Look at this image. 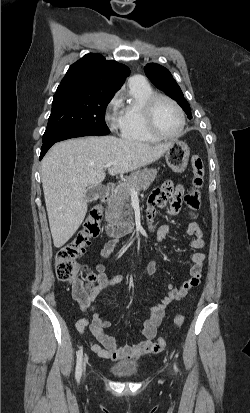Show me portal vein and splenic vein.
Masks as SVG:
<instances>
[{"label": "portal vein and splenic vein", "mask_w": 250, "mask_h": 413, "mask_svg": "<svg viewBox=\"0 0 250 413\" xmlns=\"http://www.w3.org/2000/svg\"><path fill=\"white\" fill-rule=\"evenodd\" d=\"M112 165H113V162H108V163L105 165V167H106V168H110ZM131 192H132V194H136V192H135L134 189H131Z\"/></svg>", "instance_id": "obj_1"}]
</instances>
